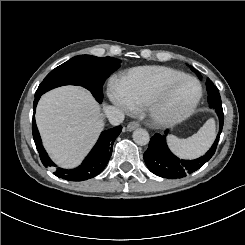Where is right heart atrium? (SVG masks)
I'll return each mask as SVG.
<instances>
[{
  "instance_id": "d8ad5b80",
  "label": "right heart atrium",
  "mask_w": 245,
  "mask_h": 245,
  "mask_svg": "<svg viewBox=\"0 0 245 245\" xmlns=\"http://www.w3.org/2000/svg\"><path fill=\"white\" fill-rule=\"evenodd\" d=\"M113 98H114L115 102H117V103L123 105L124 107L128 108V106L117 95H115Z\"/></svg>"
}]
</instances>
